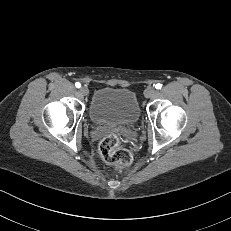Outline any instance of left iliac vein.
Segmentation results:
<instances>
[{"label": "left iliac vein", "mask_w": 231, "mask_h": 231, "mask_svg": "<svg viewBox=\"0 0 231 231\" xmlns=\"http://www.w3.org/2000/svg\"><path fill=\"white\" fill-rule=\"evenodd\" d=\"M155 94H156V90H155L154 87H148V88H146L145 91H144V96H145L146 98H151V97H153Z\"/></svg>", "instance_id": "obj_1"}]
</instances>
